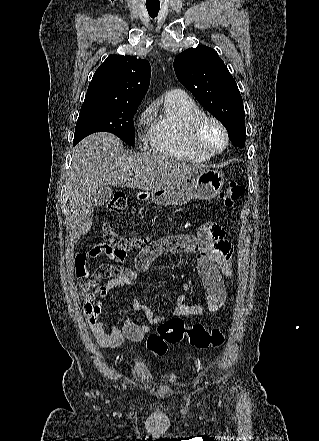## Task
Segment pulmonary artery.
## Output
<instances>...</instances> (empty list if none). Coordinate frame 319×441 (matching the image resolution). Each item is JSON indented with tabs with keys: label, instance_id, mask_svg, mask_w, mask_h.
Returning a JSON list of instances; mask_svg holds the SVG:
<instances>
[{
	"label": "pulmonary artery",
	"instance_id": "pulmonary-artery-1",
	"mask_svg": "<svg viewBox=\"0 0 319 441\" xmlns=\"http://www.w3.org/2000/svg\"><path fill=\"white\" fill-rule=\"evenodd\" d=\"M167 96L170 97H182L185 96V93L180 89H172L167 93Z\"/></svg>",
	"mask_w": 319,
	"mask_h": 441
}]
</instances>
